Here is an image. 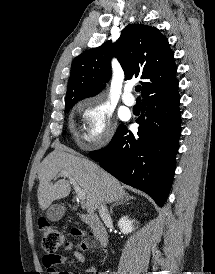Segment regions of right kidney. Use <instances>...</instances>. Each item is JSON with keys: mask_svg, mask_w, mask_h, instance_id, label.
Masks as SVG:
<instances>
[{"mask_svg": "<svg viewBox=\"0 0 215 274\" xmlns=\"http://www.w3.org/2000/svg\"><path fill=\"white\" fill-rule=\"evenodd\" d=\"M118 226L124 234H129L135 230V221L128 219V216H124L118 221Z\"/></svg>", "mask_w": 215, "mask_h": 274, "instance_id": "1", "label": "right kidney"}]
</instances>
